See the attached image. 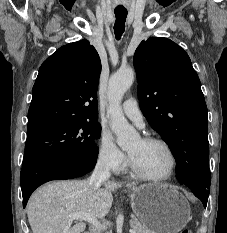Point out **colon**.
I'll list each match as a JSON object with an SVG mask.
<instances>
[{"instance_id":"colon-1","label":"colon","mask_w":227,"mask_h":233,"mask_svg":"<svg viewBox=\"0 0 227 233\" xmlns=\"http://www.w3.org/2000/svg\"><path fill=\"white\" fill-rule=\"evenodd\" d=\"M179 233H192V231L188 228L182 229Z\"/></svg>"}]
</instances>
